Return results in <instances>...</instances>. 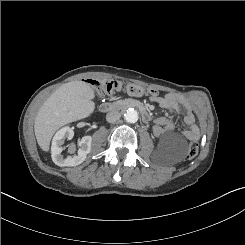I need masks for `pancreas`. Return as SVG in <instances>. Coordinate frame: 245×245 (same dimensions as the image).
<instances>
[{"instance_id": "obj_1", "label": "pancreas", "mask_w": 245, "mask_h": 245, "mask_svg": "<svg viewBox=\"0 0 245 245\" xmlns=\"http://www.w3.org/2000/svg\"><path fill=\"white\" fill-rule=\"evenodd\" d=\"M132 101V99H125V100H119L117 103L119 105H125V104H129Z\"/></svg>"}]
</instances>
